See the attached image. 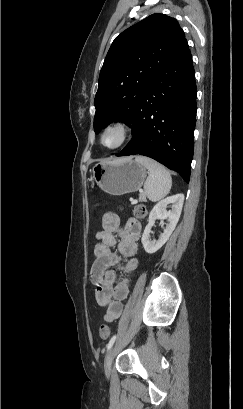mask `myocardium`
I'll return each mask as SVG.
<instances>
[{"label": "myocardium", "instance_id": "f54148a6", "mask_svg": "<svg viewBox=\"0 0 243 409\" xmlns=\"http://www.w3.org/2000/svg\"><path fill=\"white\" fill-rule=\"evenodd\" d=\"M109 132H116L119 135V141L114 146H107L104 143V137ZM131 130L128 123L124 120H114L106 124L100 132L99 142L100 145L107 150H117L121 148L129 139Z\"/></svg>", "mask_w": 243, "mask_h": 409}]
</instances>
